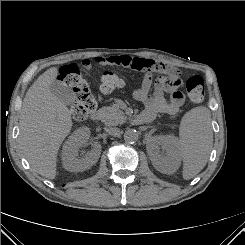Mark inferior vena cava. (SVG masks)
Wrapping results in <instances>:
<instances>
[{"label":"inferior vena cava","mask_w":245,"mask_h":245,"mask_svg":"<svg viewBox=\"0 0 245 245\" xmlns=\"http://www.w3.org/2000/svg\"><path fill=\"white\" fill-rule=\"evenodd\" d=\"M106 132L111 135V136H114V137H119L120 134H121V131L119 128H116V127H109L106 129Z\"/></svg>","instance_id":"obj_1"}]
</instances>
